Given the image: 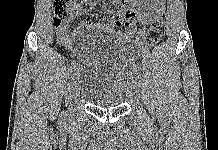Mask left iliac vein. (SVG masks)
<instances>
[{"mask_svg":"<svg viewBox=\"0 0 218 150\" xmlns=\"http://www.w3.org/2000/svg\"><path fill=\"white\" fill-rule=\"evenodd\" d=\"M142 84V76H137V81L134 82L133 84V88H132V91L137 94L138 93V90L137 89H140L139 88V85ZM144 91V90H143Z\"/></svg>","mask_w":218,"mask_h":150,"instance_id":"4c4485c4","label":"left iliac vein"}]
</instances>
